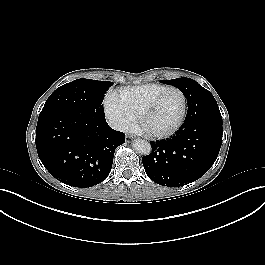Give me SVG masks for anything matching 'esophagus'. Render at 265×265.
Wrapping results in <instances>:
<instances>
[{"instance_id":"obj_1","label":"esophagus","mask_w":265,"mask_h":265,"mask_svg":"<svg viewBox=\"0 0 265 265\" xmlns=\"http://www.w3.org/2000/svg\"><path fill=\"white\" fill-rule=\"evenodd\" d=\"M129 138H130V139H133V138H135V136H133V135H130V136H129Z\"/></svg>"}]
</instances>
